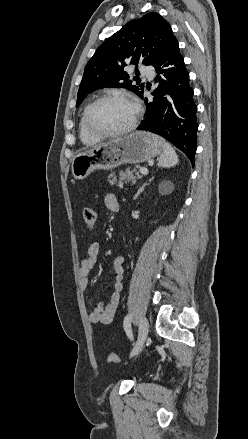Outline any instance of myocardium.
<instances>
[{
    "mask_svg": "<svg viewBox=\"0 0 248 439\" xmlns=\"http://www.w3.org/2000/svg\"><path fill=\"white\" fill-rule=\"evenodd\" d=\"M109 99L124 100V101L131 103L134 106L135 114H134L133 120L125 128L120 129V130H116V131H106V130L99 129L94 125V123L92 121L93 110L95 109V107L98 104H100L101 102H103L105 100H109ZM140 115H141V109H140L139 105L134 101V99H132L128 95L123 94V93H118V92L105 93V94L99 96L98 98H96L93 102H91L88 105L86 112H85V125H86L87 130L91 134L98 136V137H101V138L121 136V135H125L127 133H130L131 131H133L137 127Z\"/></svg>",
    "mask_w": 248,
    "mask_h": 439,
    "instance_id": "obj_1",
    "label": "myocardium"
}]
</instances>
